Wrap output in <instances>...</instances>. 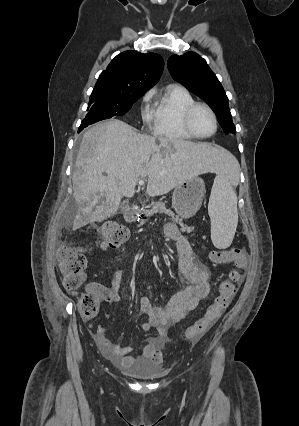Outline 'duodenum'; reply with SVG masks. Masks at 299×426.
<instances>
[{
  "label": "duodenum",
  "mask_w": 299,
  "mask_h": 426,
  "mask_svg": "<svg viewBox=\"0 0 299 426\" xmlns=\"http://www.w3.org/2000/svg\"><path fill=\"white\" fill-rule=\"evenodd\" d=\"M138 207L137 206H132L130 208H128L125 212V218L128 221H134L138 215Z\"/></svg>",
  "instance_id": "1"
}]
</instances>
